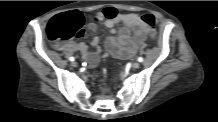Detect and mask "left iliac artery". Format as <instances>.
<instances>
[{
  "label": "left iliac artery",
  "instance_id": "1",
  "mask_svg": "<svg viewBox=\"0 0 218 122\" xmlns=\"http://www.w3.org/2000/svg\"><path fill=\"white\" fill-rule=\"evenodd\" d=\"M138 61H139V62H142V61H143V58H142V57H139V58H138Z\"/></svg>",
  "mask_w": 218,
  "mask_h": 122
}]
</instances>
